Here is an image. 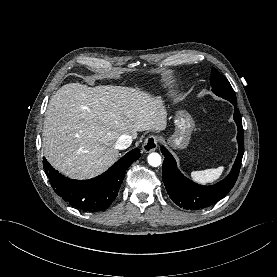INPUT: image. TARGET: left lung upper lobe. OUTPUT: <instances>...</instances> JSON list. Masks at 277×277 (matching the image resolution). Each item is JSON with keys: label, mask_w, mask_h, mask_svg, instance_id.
Listing matches in <instances>:
<instances>
[{"label": "left lung upper lobe", "mask_w": 277, "mask_h": 277, "mask_svg": "<svg viewBox=\"0 0 277 277\" xmlns=\"http://www.w3.org/2000/svg\"><path fill=\"white\" fill-rule=\"evenodd\" d=\"M210 83L212 91L232 104H237L236 96L233 88L231 87L229 81L221 75L215 68H212L210 75Z\"/></svg>", "instance_id": "left-lung-upper-lobe-1"}]
</instances>
